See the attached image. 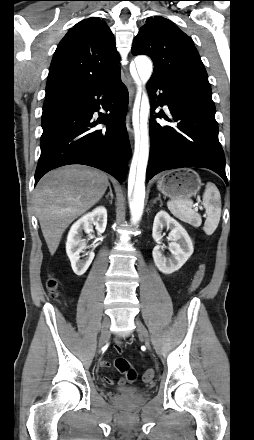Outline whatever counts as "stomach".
<instances>
[{
  "instance_id": "obj_1",
  "label": "stomach",
  "mask_w": 254,
  "mask_h": 440,
  "mask_svg": "<svg viewBox=\"0 0 254 440\" xmlns=\"http://www.w3.org/2000/svg\"><path fill=\"white\" fill-rule=\"evenodd\" d=\"M202 185L200 176L192 169L183 168L164 173L157 181L158 190L171 199H189Z\"/></svg>"
}]
</instances>
